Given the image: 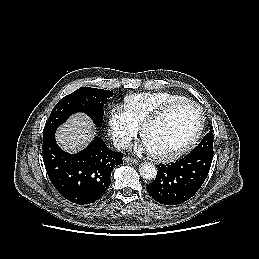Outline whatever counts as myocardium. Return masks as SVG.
Masks as SVG:
<instances>
[{"mask_svg": "<svg viewBox=\"0 0 259 259\" xmlns=\"http://www.w3.org/2000/svg\"><path fill=\"white\" fill-rule=\"evenodd\" d=\"M181 105H191L198 110L199 116H200L198 127H197L196 131L194 132V134L191 136V138L189 140H187L184 144H182L180 147L176 148L175 150L166 152V153H153L152 152V155L154 156V158H156L160 161L175 160V159L181 157L182 155H184L186 152H188L191 148L194 147V145L197 143V141L201 137L204 126H205V114H204L202 107L197 102L187 99V98L173 101V102H170V103L164 105L163 107H161L158 111H156L154 114H152L150 117H148L140 126V134H141V137L143 138L144 133L149 126L160 121L171 110H173L174 108L181 106Z\"/></svg>", "mask_w": 259, "mask_h": 259, "instance_id": "myocardium-1", "label": "myocardium"}]
</instances>
